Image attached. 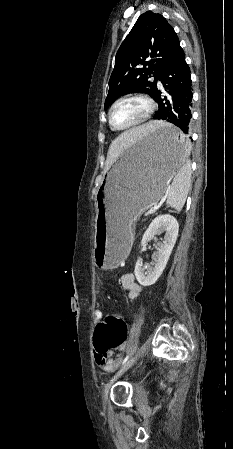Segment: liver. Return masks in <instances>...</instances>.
<instances>
[{
  "instance_id": "liver-1",
  "label": "liver",
  "mask_w": 233,
  "mask_h": 449,
  "mask_svg": "<svg viewBox=\"0 0 233 449\" xmlns=\"http://www.w3.org/2000/svg\"><path fill=\"white\" fill-rule=\"evenodd\" d=\"M163 123L164 122L162 121H150L146 124L134 127L123 133H119L118 137L111 143L109 147L106 167L109 168L118 159V157L132 144H134L135 142H140L143 135L156 129Z\"/></svg>"
}]
</instances>
